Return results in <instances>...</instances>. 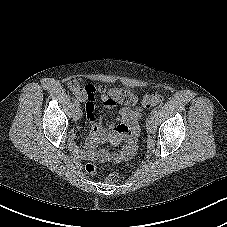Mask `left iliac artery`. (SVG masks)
<instances>
[{"instance_id":"1","label":"left iliac artery","mask_w":227,"mask_h":227,"mask_svg":"<svg viewBox=\"0 0 227 227\" xmlns=\"http://www.w3.org/2000/svg\"><path fill=\"white\" fill-rule=\"evenodd\" d=\"M158 111V107L154 108L151 110V115H153L154 117L156 116V113Z\"/></svg>"}]
</instances>
